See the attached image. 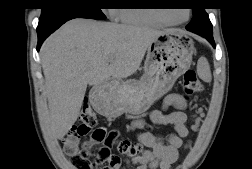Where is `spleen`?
<instances>
[{"label":"spleen","instance_id":"spleen-1","mask_svg":"<svg viewBox=\"0 0 252 169\" xmlns=\"http://www.w3.org/2000/svg\"><path fill=\"white\" fill-rule=\"evenodd\" d=\"M197 72L199 77L205 82H211L212 76L210 66L206 58L201 57L197 63Z\"/></svg>","mask_w":252,"mask_h":169}]
</instances>
